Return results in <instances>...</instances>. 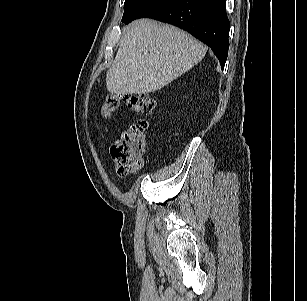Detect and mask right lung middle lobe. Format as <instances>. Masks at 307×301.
<instances>
[{
    "mask_svg": "<svg viewBox=\"0 0 307 301\" xmlns=\"http://www.w3.org/2000/svg\"><path fill=\"white\" fill-rule=\"evenodd\" d=\"M162 0H125L122 22L128 24Z\"/></svg>",
    "mask_w": 307,
    "mask_h": 301,
    "instance_id": "right-lung-middle-lobe-1",
    "label": "right lung middle lobe"
}]
</instances>
